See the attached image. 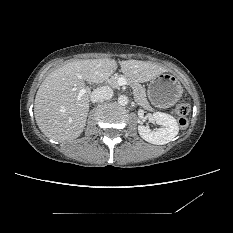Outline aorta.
<instances>
[{
  "label": "aorta",
  "instance_id": "1",
  "mask_svg": "<svg viewBox=\"0 0 233 233\" xmlns=\"http://www.w3.org/2000/svg\"><path fill=\"white\" fill-rule=\"evenodd\" d=\"M128 102H129V99H128L127 96H125V95H120V96L118 97V103H119L120 105L126 106V105L128 104Z\"/></svg>",
  "mask_w": 233,
  "mask_h": 233
}]
</instances>
